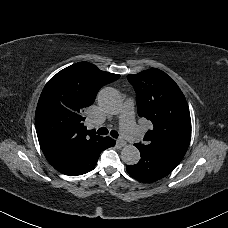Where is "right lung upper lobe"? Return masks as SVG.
<instances>
[{
	"label": "right lung upper lobe",
	"mask_w": 228,
	"mask_h": 228,
	"mask_svg": "<svg viewBox=\"0 0 228 228\" xmlns=\"http://www.w3.org/2000/svg\"><path fill=\"white\" fill-rule=\"evenodd\" d=\"M119 77L91 63L79 62L58 72L45 85L35 113V126L41 149L51 165L102 141L92 130H86L82 113L93 104L101 87Z\"/></svg>",
	"instance_id": "1"
}]
</instances>
